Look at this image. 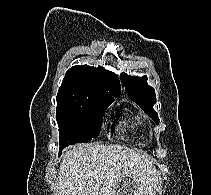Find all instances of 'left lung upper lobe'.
I'll list each match as a JSON object with an SVG mask.
<instances>
[{
	"label": "left lung upper lobe",
	"mask_w": 211,
	"mask_h": 195,
	"mask_svg": "<svg viewBox=\"0 0 211 195\" xmlns=\"http://www.w3.org/2000/svg\"><path fill=\"white\" fill-rule=\"evenodd\" d=\"M121 80L128 96L156 123H159L158 114L153 109L156 102L155 90L147 84V77H130L123 73L121 74Z\"/></svg>",
	"instance_id": "5c2ea615"
}]
</instances>
